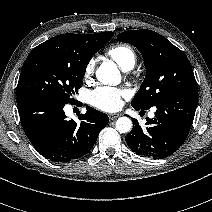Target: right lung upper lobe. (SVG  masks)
I'll return each mask as SVG.
<instances>
[{"label":"right lung upper lobe","mask_w":212,"mask_h":212,"mask_svg":"<svg viewBox=\"0 0 212 212\" xmlns=\"http://www.w3.org/2000/svg\"><path fill=\"white\" fill-rule=\"evenodd\" d=\"M103 33V32H101ZM61 34L55 37L50 38L44 43L35 47L31 53H47L55 55H65L68 54L71 45L77 40H86L93 37H96L98 34Z\"/></svg>","instance_id":"obj_1"}]
</instances>
